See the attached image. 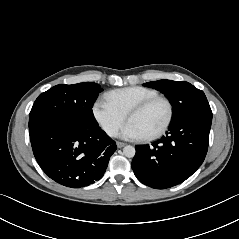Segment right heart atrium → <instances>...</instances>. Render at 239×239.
<instances>
[{
    "mask_svg": "<svg viewBox=\"0 0 239 239\" xmlns=\"http://www.w3.org/2000/svg\"><path fill=\"white\" fill-rule=\"evenodd\" d=\"M93 116L102 130L113 137L126 120V115L116 109L107 100L98 99L92 108Z\"/></svg>",
    "mask_w": 239,
    "mask_h": 239,
    "instance_id": "obj_1",
    "label": "right heart atrium"
}]
</instances>
